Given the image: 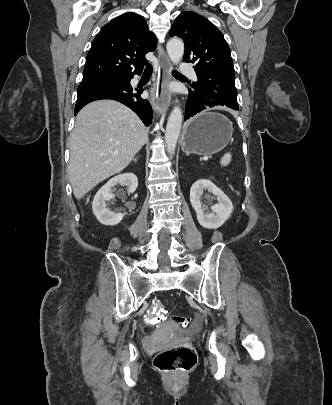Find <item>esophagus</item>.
<instances>
[{"label":"esophagus","mask_w":332,"mask_h":405,"mask_svg":"<svg viewBox=\"0 0 332 405\" xmlns=\"http://www.w3.org/2000/svg\"><path fill=\"white\" fill-rule=\"evenodd\" d=\"M159 73L157 79V88L155 100L153 102L155 111L161 114L168 109L171 100V94L168 89V84L171 80V62L166 55L163 47L158 46Z\"/></svg>","instance_id":"34e87169"}]
</instances>
